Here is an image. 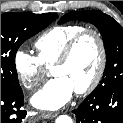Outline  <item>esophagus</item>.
<instances>
[{
    "mask_svg": "<svg viewBox=\"0 0 123 123\" xmlns=\"http://www.w3.org/2000/svg\"><path fill=\"white\" fill-rule=\"evenodd\" d=\"M41 116L45 119H52L55 116H57V113H52V112H42Z\"/></svg>",
    "mask_w": 123,
    "mask_h": 123,
    "instance_id": "34e87169",
    "label": "esophagus"
}]
</instances>
